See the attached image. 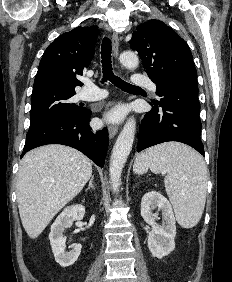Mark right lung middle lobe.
I'll list each match as a JSON object with an SVG mask.
<instances>
[{"label": "right lung middle lobe", "instance_id": "obj_1", "mask_svg": "<svg viewBox=\"0 0 232 282\" xmlns=\"http://www.w3.org/2000/svg\"><path fill=\"white\" fill-rule=\"evenodd\" d=\"M76 94L73 90L48 89L32 92L31 123L33 129L60 115H80L86 112L81 104H75L70 98Z\"/></svg>", "mask_w": 232, "mask_h": 282}]
</instances>
